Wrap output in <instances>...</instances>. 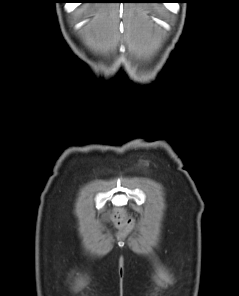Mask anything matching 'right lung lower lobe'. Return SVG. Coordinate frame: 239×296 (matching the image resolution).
Wrapping results in <instances>:
<instances>
[{
	"label": "right lung lower lobe",
	"instance_id": "obj_1",
	"mask_svg": "<svg viewBox=\"0 0 239 296\" xmlns=\"http://www.w3.org/2000/svg\"><path fill=\"white\" fill-rule=\"evenodd\" d=\"M74 2H80V3L82 2L83 3L85 1L84 0H74Z\"/></svg>",
	"mask_w": 239,
	"mask_h": 296
}]
</instances>
